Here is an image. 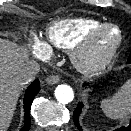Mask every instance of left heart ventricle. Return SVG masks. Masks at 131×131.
Segmentation results:
<instances>
[{"mask_svg": "<svg viewBox=\"0 0 131 131\" xmlns=\"http://www.w3.org/2000/svg\"><path fill=\"white\" fill-rule=\"evenodd\" d=\"M117 36L118 33L115 29H108L102 33L95 43L93 56L99 57L108 52L116 42Z\"/></svg>", "mask_w": 131, "mask_h": 131, "instance_id": "b2bd125f", "label": "left heart ventricle"}]
</instances>
